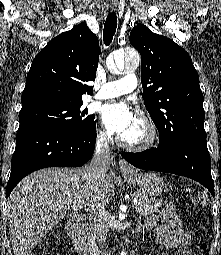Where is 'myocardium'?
<instances>
[{
  "mask_svg": "<svg viewBox=\"0 0 221 255\" xmlns=\"http://www.w3.org/2000/svg\"><path fill=\"white\" fill-rule=\"evenodd\" d=\"M136 118L143 124L146 130L145 138L138 142H129L119 136L117 142L121 147L129 151L141 152L150 150L157 144L159 139L157 125L150 116L143 112H138Z\"/></svg>",
  "mask_w": 221,
  "mask_h": 255,
  "instance_id": "myocardium-1",
  "label": "myocardium"
}]
</instances>
